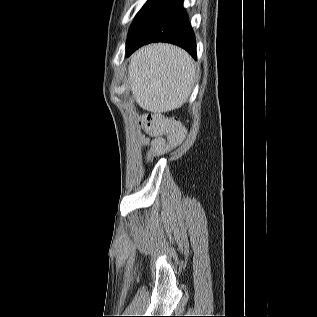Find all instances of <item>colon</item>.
Here are the masks:
<instances>
[{"mask_svg":"<svg viewBox=\"0 0 317 317\" xmlns=\"http://www.w3.org/2000/svg\"><path fill=\"white\" fill-rule=\"evenodd\" d=\"M141 125L146 132L155 137L151 154L159 156L180 145L184 139L185 130L180 122L162 114L150 113L141 118Z\"/></svg>","mask_w":317,"mask_h":317,"instance_id":"colon-1","label":"colon"}]
</instances>
